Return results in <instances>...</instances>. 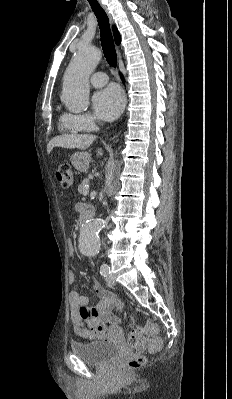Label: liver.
Instances as JSON below:
<instances>
[{"mask_svg": "<svg viewBox=\"0 0 232 399\" xmlns=\"http://www.w3.org/2000/svg\"><path fill=\"white\" fill-rule=\"evenodd\" d=\"M95 136L91 134H64V136H56L47 144V152L50 154L53 148H79V150H87L94 142ZM98 156H103L101 148L98 150Z\"/></svg>", "mask_w": 232, "mask_h": 399, "instance_id": "obj_1", "label": "liver"}]
</instances>
